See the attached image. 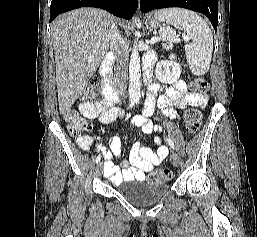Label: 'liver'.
I'll return each mask as SVG.
<instances>
[{"instance_id":"1","label":"liver","mask_w":257,"mask_h":237,"mask_svg":"<svg viewBox=\"0 0 257 237\" xmlns=\"http://www.w3.org/2000/svg\"><path fill=\"white\" fill-rule=\"evenodd\" d=\"M113 24L111 14L94 8L73 10L52 22L61 114L71 109L107 55Z\"/></svg>"}]
</instances>
